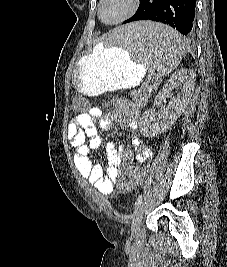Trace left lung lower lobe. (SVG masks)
<instances>
[{
  "mask_svg": "<svg viewBox=\"0 0 227 267\" xmlns=\"http://www.w3.org/2000/svg\"><path fill=\"white\" fill-rule=\"evenodd\" d=\"M196 0H141L138 11L123 24L152 20L168 24L182 35L191 37L195 33ZM155 39H150L153 44Z\"/></svg>",
  "mask_w": 227,
  "mask_h": 267,
  "instance_id": "left-lung-lower-lobe-1",
  "label": "left lung lower lobe"
}]
</instances>
